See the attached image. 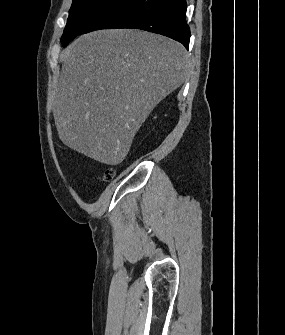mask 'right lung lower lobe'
I'll return each mask as SVG.
<instances>
[{
	"label": "right lung lower lobe",
	"mask_w": 285,
	"mask_h": 335,
	"mask_svg": "<svg viewBox=\"0 0 285 335\" xmlns=\"http://www.w3.org/2000/svg\"><path fill=\"white\" fill-rule=\"evenodd\" d=\"M186 0H117L83 31L133 28L170 37L189 48Z\"/></svg>",
	"instance_id": "1"
}]
</instances>
